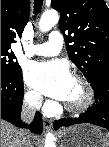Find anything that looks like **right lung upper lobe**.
Returning a JSON list of instances; mask_svg holds the SVG:
<instances>
[{"label":"right lung upper lobe","instance_id":"1","mask_svg":"<svg viewBox=\"0 0 109 147\" xmlns=\"http://www.w3.org/2000/svg\"><path fill=\"white\" fill-rule=\"evenodd\" d=\"M29 12L28 0H1V48L10 49L16 36L21 37Z\"/></svg>","mask_w":109,"mask_h":147}]
</instances>
